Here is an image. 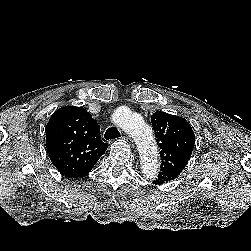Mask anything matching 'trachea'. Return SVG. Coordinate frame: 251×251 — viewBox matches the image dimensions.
I'll return each mask as SVG.
<instances>
[{
	"instance_id": "trachea-1",
	"label": "trachea",
	"mask_w": 251,
	"mask_h": 251,
	"mask_svg": "<svg viewBox=\"0 0 251 251\" xmlns=\"http://www.w3.org/2000/svg\"><path fill=\"white\" fill-rule=\"evenodd\" d=\"M121 137L120 132L115 127H110L106 130L104 138L106 140H112Z\"/></svg>"
}]
</instances>
